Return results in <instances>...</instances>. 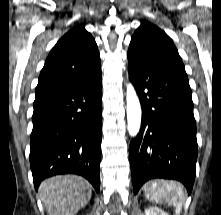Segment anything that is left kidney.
Masks as SVG:
<instances>
[{"instance_id":"obj_1","label":"left kidney","mask_w":221,"mask_h":215,"mask_svg":"<svg viewBox=\"0 0 221 215\" xmlns=\"http://www.w3.org/2000/svg\"><path fill=\"white\" fill-rule=\"evenodd\" d=\"M145 215H169V214L164 212L160 208L150 207L145 210Z\"/></svg>"}]
</instances>
